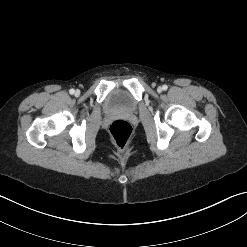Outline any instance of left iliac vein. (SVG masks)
Here are the masks:
<instances>
[{
    "label": "left iliac vein",
    "instance_id": "left-iliac-vein-1",
    "mask_svg": "<svg viewBox=\"0 0 247 247\" xmlns=\"http://www.w3.org/2000/svg\"><path fill=\"white\" fill-rule=\"evenodd\" d=\"M162 90H163V89H162V87H160V86L157 88V92H159V93H161Z\"/></svg>",
    "mask_w": 247,
    "mask_h": 247
}]
</instances>
